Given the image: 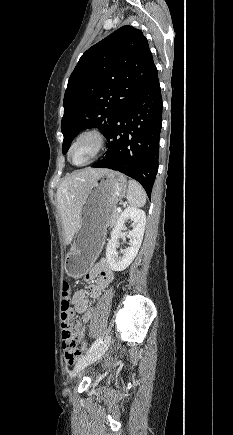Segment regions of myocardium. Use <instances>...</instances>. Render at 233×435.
<instances>
[{
    "instance_id": "1",
    "label": "myocardium",
    "mask_w": 233,
    "mask_h": 435,
    "mask_svg": "<svg viewBox=\"0 0 233 435\" xmlns=\"http://www.w3.org/2000/svg\"><path fill=\"white\" fill-rule=\"evenodd\" d=\"M85 141L92 143L93 146L92 153L85 162L80 164H75L70 159L71 152L74 147H76L78 144ZM104 143H105V135L100 129L98 128L83 129L75 136V138L70 143L67 151V159L70 162V164L75 167L87 166L97 159V157L99 156V154L101 153L104 147Z\"/></svg>"
}]
</instances>
